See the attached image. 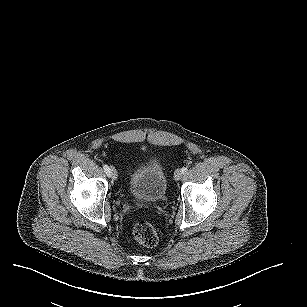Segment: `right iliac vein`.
Masks as SVG:
<instances>
[{"label": "right iliac vein", "mask_w": 307, "mask_h": 307, "mask_svg": "<svg viewBox=\"0 0 307 307\" xmlns=\"http://www.w3.org/2000/svg\"><path fill=\"white\" fill-rule=\"evenodd\" d=\"M110 176L112 177L113 180L117 179V171L113 166L110 167Z\"/></svg>", "instance_id": "63e3f726"}]
</instances>
